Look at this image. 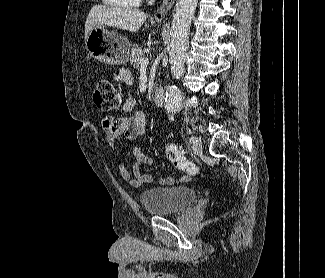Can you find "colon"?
<instances>
[{
  "instance_id": "1",
  "label": "colon",
  "mask_w": 325,
  "mask_h": 278,
  "mask_svg": "<svg viewBox=\"0 0 325 278\" xmlns=\"http://www.w3.org/2000/svg\"><path fill=\"white\" fill-rule=\"evenodd\" d=\"M93 101L100 110L112 111L119 108L121 94L109 80L101 79L97 81L94 87ZM165 152L171 164L176 169L184 172L188 177L199 174V168L193 162L187 160L175 144L167 143Z\"/></svg>"
}]
</instances>
